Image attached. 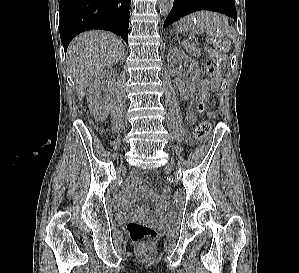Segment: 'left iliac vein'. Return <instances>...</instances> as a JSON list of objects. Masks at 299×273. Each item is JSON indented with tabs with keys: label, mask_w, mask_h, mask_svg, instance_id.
<instances>
[{
	"label": "left iliac vein",
	"mask_w": 299,
	"mask_h": 273,
	"mask_svg": "<svg viewBox=\"0 0 299 273\" xmlns=\"http://www.w3.org/2000/svg\"><path fill=\"white\" fill-rule=\"evenodd\" d=\"M173 167V163L171 162L170 164H169V168H172Z\"/></svg>",
	"instance_id": "left-iliac-vein-1"
}]
</instances>
